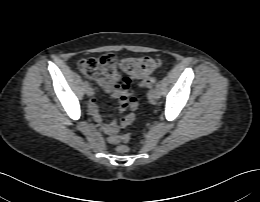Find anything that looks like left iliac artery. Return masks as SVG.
I'll use <instances>...</instances> for the list:
<instances>
[{"label": "left iliac artery", "instance_id": "44dca946", "mask_svg": "<svg viewBox=\"0 0 260 202\" xmlns=\"http://www.w3.org/2000/svg\"><path fill=\"white\" fill-rule=\"evenodd\" d=\"M160 87H161L160 82H157V83H156V88L160 89Z\"/></svg>", "mask_w": 260, "mask_h": 202}]
</instances>
